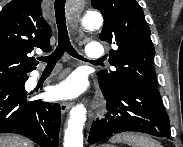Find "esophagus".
Instances as JSON below:
<instances>
[{
	"label": "esophagus",
	"mask_w": 183,
	"mask_h": 147,
	"mask_svg": "<svg viewBox=\"0 0 183 147\" xmlns=\"http://www.w3.org/2000/svg\"><path fill=\"white\" fill-rule=\"evenodd\" d=\"M72 106V102L62 101L60 104L62 114H65Z\"/></svg>",
	"instance_id": "esophagus-1"
}]
</instances>
